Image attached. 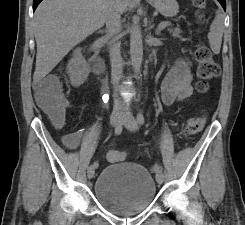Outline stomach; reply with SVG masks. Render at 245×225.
<instances>
[{
  "label": "stomach",
  "mask_w": 245,
  "mask_h": 225,
  "mask_svg": "<svg viewBox=\"0 0 245 225\" xmlns=\"http://www.w3.org/2000/svg\"><path fill=\"white\" fill-rule=\"evenodd\" d=\"M147 2L165 17H173L179 11L176 0H147Z\"/></svg>",
  "instance_id": "0dacf381"
}]
</instances>
